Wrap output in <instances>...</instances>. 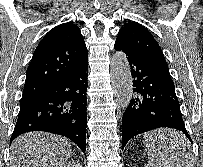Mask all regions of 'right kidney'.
<instances>
[{
	"label": "right kidney",
	"mask_w": 203,
	"mask_h": 167,
	"mask_svg": "<svg viewBox=\"0 0 203 167\" xmlns=\"http://www.w3.org/2000/svg\"><path fill=\"white\" fill-rule=\"evenodd\" d=\"M64 167H81V165H80V163L78 161H72V162H69Z\"/></svg>",
	"instance_id": "right-kidney-1"
}]
</instances>
